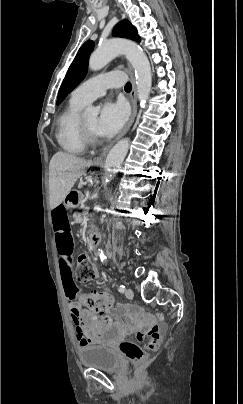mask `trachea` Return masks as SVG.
Returning <instances> with one entry per match:
<instances>
[{
    "label": "trachea",
    "instance_id": "trachea-1",
    "mask_svg": "<svg viewBox=\"0 0 243 404\" xmlns=\"http://www.w3.org/2000/svg\"><path fill=\"white\" fill-rule=\"evenodd\" d=\"M124 89L131 91V90H132V85H131V83H130V82L126 83Z\"/></svg>",
    "mask_w": 243,
    "mask_h": 404
}]
</instances>
